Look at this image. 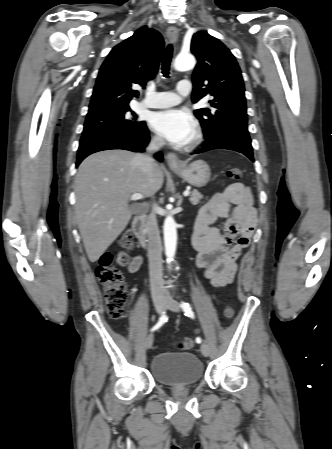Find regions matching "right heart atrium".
Instances as JSON below:
<instances>
[{"mask_svg":"<svg viewBox=\"0 0 332 449\" xmlns=\"http://www.w3.org/2000/svg\"><path fill=\"white\" fill-rule=\"evenodd\" d=\"M151 142H152L154 145H156V146L162 145V140H161V138L158 137V136H152V137H151Z\"/></svg>","mask_w":332,"mask_h":449,"instance_id":"right-heart-atrium-1","label":"right heart atrium"}]
</instances>
